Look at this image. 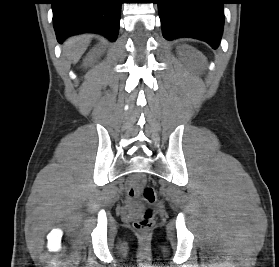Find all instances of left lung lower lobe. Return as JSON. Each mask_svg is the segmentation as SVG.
<instances>
[{"label":"left lung lower lobe","instance_id":"left-lung-lower-lobe-1","mask_svg":"<svg viewBox=\"0 0 279 267\" xmlns=\"http://www.w3.org/2000/svg\"><path fill=\"white\" fill-rule=\"evenodd\" d=\"M223 3L225 0H157L164 38H197L216 49L223 31Z\"/></svg>","mask_w":279,"mask_h":267}]
</instances>
